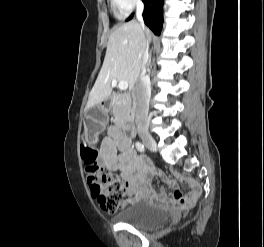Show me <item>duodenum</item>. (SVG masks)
<instances>
[{"mask_svg": "<svg viewBox=\"0 0 264 247\" xmlns=\"http://www.w3.org/2000/svg\"><path fill=\"white\" fill-rule=\"evenodd\" d=\"M107 106V105H106ZM123 129L126 133H128L129 135H133L135 133V126L132 122H127L125 124H123Z\"/></svg>", "mask_w": 264, "mask_h": 247, "instance_id": "410a0bca", "label": "duodenum"}]
</instances>
